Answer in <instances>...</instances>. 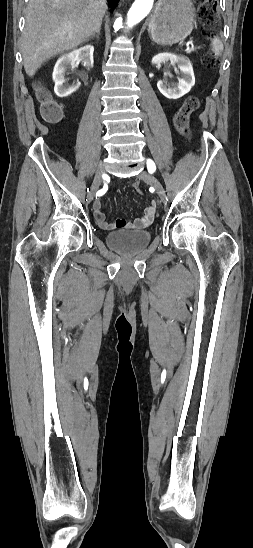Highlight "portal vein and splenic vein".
<instances>
[{
    "label": "portal vein and splenic vein",
    "instance_id": "1",
    "mask_svg": "<svg viewBox=\"0 0 253 548\" xmlns=\"http://www.w3.org/2000/svg\"><path fill=\"white\" fill-rule=\"evenodd\" d=\"M194 49H196V48L194 47V45H189V44L186 45V51H187V52H190L191 50H194Z\"/></svg>",
    "mask_w": 253,
    "mask_h": 548
}]
</instances>
